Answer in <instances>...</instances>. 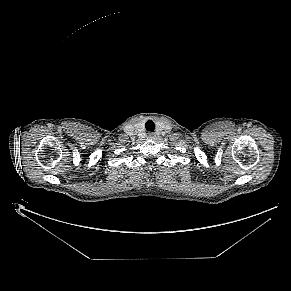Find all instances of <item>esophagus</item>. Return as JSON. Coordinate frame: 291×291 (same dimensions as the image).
<instances>
[{
  "label": "esophagus",
  "instance_id": "1",
  "mask_svg": "<svg viewBox=\"0 0 291 291\" xmlns=\"http://www.w3.org/2000/svg\"><path fill=\"white\" fill-rule=\"evenodd\" d=\"M148 138L151 140L155 139V134L152 132L148 133Z\"/></svg>",
  "mask_w": 291,
  "mask_h": 291
}]
</instances>
